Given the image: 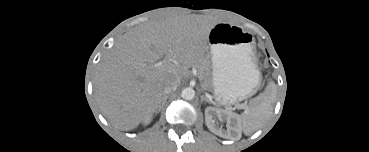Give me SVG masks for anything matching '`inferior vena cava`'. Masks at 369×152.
<instances>
[{"instance_id":"602c4592","label":"inferior vena cava","mask_w":369,"mask_h":152,"mask_svg":"<svg viewBox=\"0 0 369 152\" xmlns=\"http://www.w3.org/2000/svg\"><path fill=\"white\" fill-rule=\"evenodd\" d=\"M179 84H180V81L168 80L164 85L163 95H166V94L171 93L172 91H175L177 87L179 86Z\"/></svg>"}]
</instances>
